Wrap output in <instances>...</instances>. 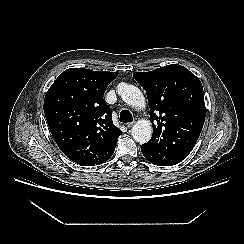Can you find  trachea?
I'll list each match as a JSON object with an SVG mask.
<instances>
[{
	"mask_svg": "<svg viewBox=\"0 0 244 244\" xmlns=\"http://www.w3.org/2000/svg\"><path fill=\"white\" fill-rule=\"evenodd\" d=\"M120 121L123 123L133 121L131 112L129 110H122L120 113Z\"/></svg>",
	"mask_w": 244,
	"mask_h": 244,
	"instance_id": "obj_1",
	"label": "trachea"
}]
</instances>
